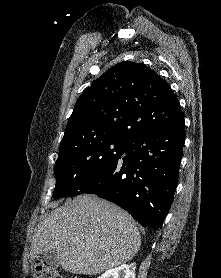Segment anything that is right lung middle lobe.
I'll list each match as a JSON object with an SVG mask.
<instances>
[{"label":"right lung middle lobe","mask_w":221,"mask_h":278,"mask_svg":"<svg viewBox=\"0 0 221 278\" xmlns=\"http://www.w3.org/2000/svg\"><path fill=\"white\" fill-rule=\"evenodd\" d=\"M128 139L93 138L59 152L54 168V198L72 195L85 182L109 167L125 152Z\"/></svg>","instance_id":"right-lung-middle-lobe-1"}]
</instances>
